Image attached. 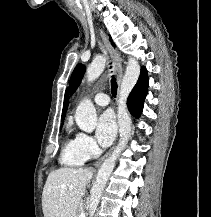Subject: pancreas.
Returning a JSON list of instances; mask_svg holds the SVG:
<instances>
[{
    "label": "pancreas",
    "mask_w": 211,
    "mask_h": 217,
    "mask_svg": "<svg viewBox=\"0 0 211 217\" xmlns=\"http://www.w3.org/2000/svg\"><path fill=\"white\" fill-rule=\"evenodd\" d=\"M80 211L77 210L76 213L73 215V217H79Z\"/></svg>",
    "instance_id": "pancreas-1"
}]
</instances>
